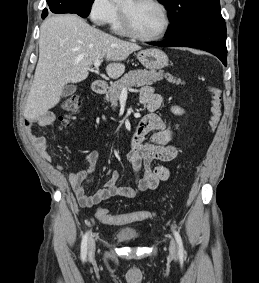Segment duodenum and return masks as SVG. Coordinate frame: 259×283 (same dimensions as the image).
I'll return each instance as SVG.
<instances>
[{
  "label": "duodenum",
  "mask_w": 259,
  "mask_h": 283,
  "mask_svg": "<svg viewBox=\"0 0 259 283\" xmlns=\"http://www.w3.org/2000/svg\"><path fill=\"white\" fill-rule=\"evenodd\" d=\"M92 87H93V91L99 95L105 94L107 91V85L103 81H99V80L95 81Z\"/></svg>",
  "instance_id": "410a0bca"
}]
</instances>
